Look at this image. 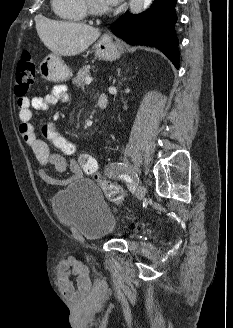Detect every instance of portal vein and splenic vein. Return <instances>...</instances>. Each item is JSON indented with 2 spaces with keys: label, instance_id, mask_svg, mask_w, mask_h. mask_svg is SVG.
<instances>
[{
  "label": "portal vein and splenic vein",
  "instance_id": "obj_1",
  "mask_svg": "<svg viewBox=\"0 0 233 328\" xmlns=\"http://www.w3.org/2000/svg\"><path fill=\"white\" fill-rule=\"evenodd\" d=\"M92 81H93V78H91V77H87L86 80H85V83H86L87 85H89Z\"/></svg>",
  "mask_w": 233,
  "mask_h": 328
}]
</instances>
